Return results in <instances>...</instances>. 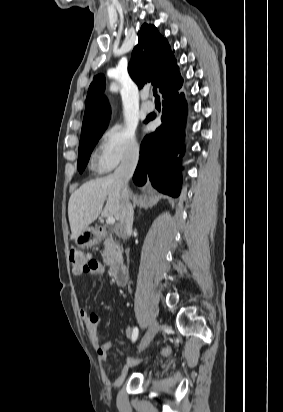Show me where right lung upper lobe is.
Here are the masks:
<instances>
[{"instance_id": "cb5924a9", "label": "right lung upper lobe", "mask_w": 283, "mask_h": 412, "mask_svg": "<svg viewBox=\"0 0 283 412\" xmlns=\"http://www.w3.org/2000/svg\"><path fill=\"white\" fill-rule=\"evenodd\" d=\"M128 72L139 88L148 81L156 85L161 93L182 79L168 41L155 26L148 24H144L138 32V45L132 52ZM104 88V76H96L86 97L81 138L105 131L108 126L110 106L102 95Z\"/></svg>"}]
</instances>
